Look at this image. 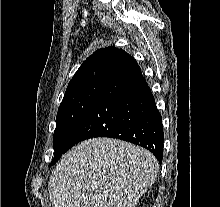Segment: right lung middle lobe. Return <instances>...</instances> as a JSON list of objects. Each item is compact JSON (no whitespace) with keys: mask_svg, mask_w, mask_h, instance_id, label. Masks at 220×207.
I'll list each match as a JSON object with an SVG mask.
<instances>
[{"mask_svg":"<svg viewBox=\"0 0 220 207\" xmlns=\"http://www.w3.org/2000/svg\"><path fill=\"white\" fill-rule=\"evenodd\" d=\"M105 80H97L65 92L56 117L53 136L54 158L49 166L55 164L69 146V140L94 102Z\"/></svg>","mask_w":220,"mask_h":207,"instance_id":"obj_1","label":"right lung middle lobe"}]
</instances>
